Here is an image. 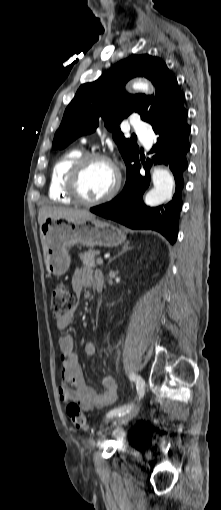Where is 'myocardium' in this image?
Returning <instances> with one entry per match:
<instances>
[{
  "mask_svg": "<svg viewBox=\"0 0 221 510\" xmlns=\"http://www.w3.org/2000/svg\"><path fill=\"white\" fill-rule=\"evenodd\" d=\"M93 161H104L109 163L116 175V180L113 188L104 196L94 199L88 200L84 198L80 190V180L84 173L86 166ZM122 184V176L119 168L114 163V161L107 156L106 154L99 152H87L83 153L71 166L67 177L65 188L69 196L78 204L83 206H97L111 201L115 196L119 193Z\"/></svg>",
  "mask_w": 221,
  "mask_h": 510,
  "instance_id": "f54148a6",
  "label": "myocardium"
}]
</instances>
